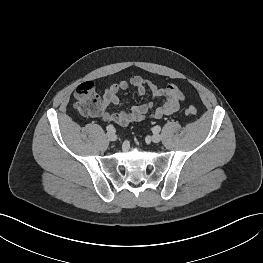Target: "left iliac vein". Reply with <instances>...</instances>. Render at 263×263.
<instances>
[{"label":"left iliac vein","instance_id":"obj_1","mask_svg":"<svg viewBox=\"0 0 263 263\" xmlns=\"http://www.w3.org/2000/svg\"><path fill=\"white\" fill-rule=\"evenodd\" d=\"M151 140L154 142V143H158L161 141V136L157 133L153 134L152 137H151Z\"/></svg>","mask_w":263,"mask_h":263}]
</instances>
